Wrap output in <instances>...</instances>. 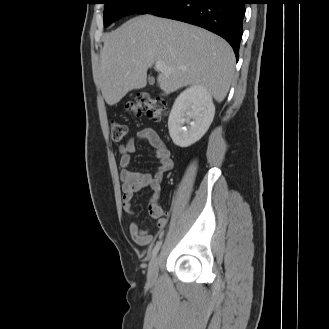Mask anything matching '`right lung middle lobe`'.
Listing matches in <instances>:
<instances>
[{
    "mask_svg": "<svg viewBox=\"0 0 329 329\" xmlns=\"http://www.w3.org/2000/svg\"><path fill=\"white\" fill-rule=\"evenodd\" d=\"M172 0H104V27L131 14H149Z\"/></svg>",
    "mask_w": 329,
    "mask_h": 329,
    "instance_id": "obj_1",
    "label": "right lung middle lobe"
}]
</instances>
